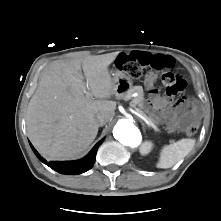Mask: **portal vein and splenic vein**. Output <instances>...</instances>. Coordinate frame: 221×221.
Listing matches in <instances>:
<instances>
[{"instance_id": "18ae733b", "label": "portal vein and splenic vein", "mask_w": 221, "mask_h": 221, "mask_svg": "<svg viewBox=\"0 0 221 221\" xmlns=\"http://www.w3.org/2000/svg\"><path fill=\"white\" fill-rule=\"evenodd\" d=\"M131 107L134 108V113L140 117L142 120H144L146 122V124H148L150 127H152L155 131L160 132L159 128L154 125L146 115H144L138 108H136L134 105L130 104Z\"/></svg>"}]
</instances>
